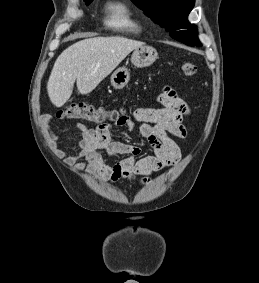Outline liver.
<instances>
[{"mask_svg": "<svg viewBox=\"0 0 259 283\" xmlns=\"http://www.w3.org/2000/svg\"><path fill=\"white\" fill-rule=\"evenodd\" d=\"M143 45L120 36L87 38L71 45L54 63L47 83L50 101L56 107L63 106L75 81L80 94L92 92L131 51Z\"/></svg>", "mask_w": 259, "mask_h": 283, "instance_id": "6515ba94", "label": "liver"}]
</instances>
